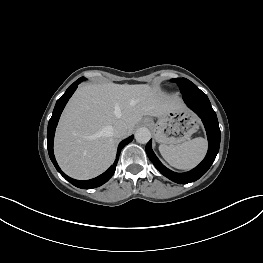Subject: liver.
Instances as JSON below:
<instances>
[{"mask_svg": "<svg viewBox=\"0 0 263 263\" xmlns=\"http://www.w3.org/2000/svg\"><path fill=\"white\" fill-rule=\"evenodd\" d=\"M180 108L177 96H168L149 85H83L59 121L54 144L56 159L70 177L94 178L115 158L117 137L112 134V126L124 123L129 135L143 116L159 118Z\"/></svg>", "mask_w": 263, "mask_h": 263, "instance_id": "6515ba94", "label": "liver"}]
</instances>
